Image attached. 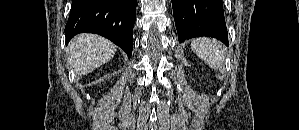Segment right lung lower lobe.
Returning a JSON list of instances; mask_svg holds the SVG:
<instances>
[{
    "instance_id": "right-lung-lower-lobe-1",
    "label": "right lung lower lobe",
    "mask_w": 299,
    "mask_h": 130,
    "mask_svg": "<svg viewBox=\"0 0 299 130\" xmlns=\"http://www.w3.org/2000/svg\"><path fill=\"white\" fill-rule=\"evenodd\" d=\"M137 0H72L66 44L79 33L104 36L131 57Z\"/></svg>"
}]
</instances>
